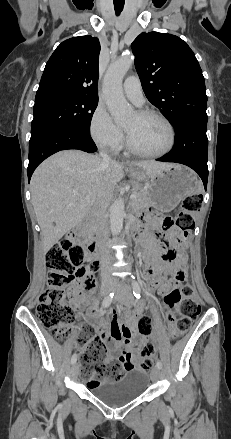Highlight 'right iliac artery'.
Segmentation results:
<instances>
[{"mask_svg":"<svg viewBox=\"0 0 231 439\" xmlns=\"http://www.w3.org/2000/svg\"><path fill=\"white\" fill-rule=\"evenodd\" d=\"M113 297H114V293H110L107 297H105L102 302V306L104 308L108 307L111 304ZM76 361H77V355L73 354V356L71 357V363L74 364Z\"/></svg>","mask_w":231,"mask_h":439,"instance_id":"right-iliac-artery-1","label":"right iliac artery"}]
</instances>
